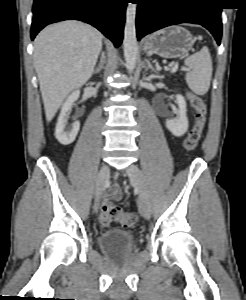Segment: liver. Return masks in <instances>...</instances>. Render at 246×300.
Returning <instances> with one entry per match:
<instances>
[{"instance_id":"liver-1","label":"liver","mask_w":246,"mask_h":300,"mask_svg":"<svg viewBox=\"0 0 246 300\" xmlns=\"http://www.w3.org/2000/svg\"><path fill=\"white\" fill-rule=\"evenodd\" d=\"M102 39L97 29L80 21L55 23L37 35L34 66L48 122L66 96L91 78Z\"/></svg>"}]
</instances>
